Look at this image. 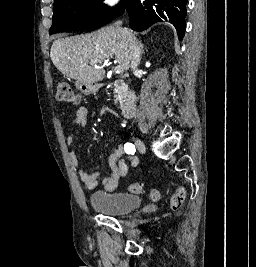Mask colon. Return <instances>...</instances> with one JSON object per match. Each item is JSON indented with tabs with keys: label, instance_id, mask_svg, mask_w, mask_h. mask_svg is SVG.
Here are the masks:
<instances>
[{
	"label": "colon",
	"instance_id": "colon-1",
	"mask_svg": "<svg viewBox=\"0 0 256 267\" xmlns=\"http://www.w3.org/2000/svg\"><path fill=\"white\" fill-rule=\"evenodd\" d=\"M56 98L58 101L67 103V104H77L80 102L81 97L75 91V88L72 84L68 82H61L57 85ZM130 193L134 195H139L144 191V184L141 182H132L128 186ZM149 195L152 198L151 201L157 200L158 192L156 189H150ZM186 197V191L183 187H178L173 195L171 196L170 206L173 211H177L183 204Z\"/></svg>",
	"mask_w": 256,
	"mask_h": 267
}]
</instances>
